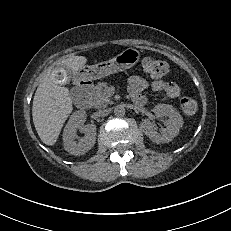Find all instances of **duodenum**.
I'll use <instances>...</instances> for the list:
<instances>
[{
  "label": "duodenum",
  "instance_id": "obj_1",
  "mask_svg": "<svg viewBox=\"0 0 231 231\" xmlns=\"http://www.w3.org/2000/svg\"><path fill=\"white\" fill-rule=\"evenodd\" d=\"M94 85L92 81L87 79H81L77 82V100L79 107L83 110L88 109L90 106V96L93 92ZM137 104H143L142 99H138Z\"/></svg>",
  "mask_w": 231,
  "mask_h": 231
}]
</instances>
